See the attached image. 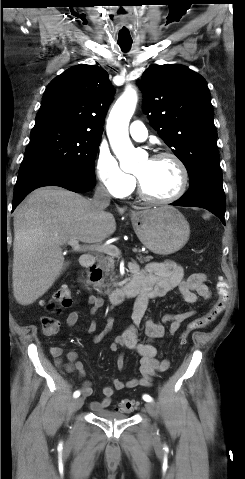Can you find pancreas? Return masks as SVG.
<instances>
[{
  "label": "pancreas",
  "mask_w": 245,
  "mask_h": 479,
  "mask_svg": "<svg viewBox=\"0 0 245 479\" xmlns=\"http://www.w3.org/2000/svg\"><path fill=\"white\" fill-rule=\"evenodd\" d=\"M150 259H152L151 256L140 257V260H143L145 262L150 261ZM97 262V267L102 270L103 277L99 281L94 282V286L100 292L105 289L104 293L109 294L112 288L118 285V282H116L118 276H116L114 272V257L111 255L104 256L100 254L97 257Z\"/></svg>",
  "instance_id": "1"
}]
</instances>
